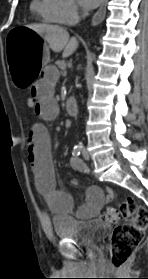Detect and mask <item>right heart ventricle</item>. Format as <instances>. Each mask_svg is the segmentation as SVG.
<instances>
[{
    "instance_id": "e07e8e85",
    "label": "right heart ventricle",
    "mask_w": 148,
    "mask_h": 279,
    "mask_svg": "<svg viewBox=\"0 0 148 279\" xmlns=\"http://www.w3.org/2000/svg\"><path fill=\"white\" fill-rule=\"evenodd\" d=\"M31 10L44 22L63 23L56 6V0H32Z\"/></svg>"
}]
</instances>
